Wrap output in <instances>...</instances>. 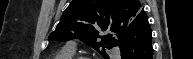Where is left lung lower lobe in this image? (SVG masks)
<instances>
[{
  "label": "left lung lower lobe",
  "instance_id": "0a47b994",
  "mask_svg": "<svg viewBox=\"0 0 193 59\" xmlns=\"http://www.w3.org/2000/svg\"><path fill=\"white\" fill-rule=\"evenodd\" d=\"M116 46L120 48L121 59H153L152 31L145 13L123 32Z\"/></svg>",
  "mask_w": 193,
  "mask_h": 59
}]
</instances>
